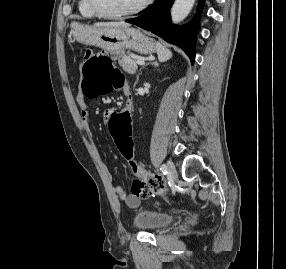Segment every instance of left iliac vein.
<instances>
[{"instance_id":"obj_1","label":"left iliac vein","mask_w":286,"mask_h":269,"mask_svg":"<svg viewBox=\"0 0 286 269\" xmlns=\"http://www.w3.org/2000/svg\"><path fill=\"white\" fill-rule=\"evenodd\" d=\"M168 172L173 181L177 179V171L174 163L172 161L167 162Z\"/></svg>"}]
</instances>
